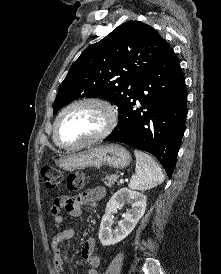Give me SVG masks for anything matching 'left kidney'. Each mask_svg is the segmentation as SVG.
I'll list each match as a JSON object with an SVG mask.
<instances>
[{
    "instance_id": "left-kidney-1",
    "label": "left kidney",
    "mask_w": 221,
    "mask_h": 274,
    "mask_svg": "<svg viewBox=\"0 0 221 274\" xmlns=\"http://www.w3.org/2000/svg\"><path fill=\"white\" fill-rule=\"evenodd\" d=\"M146 196L140 192L122 188L117 191L106 205L99 229V240L103 246L114 245L125 239L135 228L146 210ZM127 201L131 208L123 215L115 229H112L113 212Z\"/></svg>"
}]
</instances>
